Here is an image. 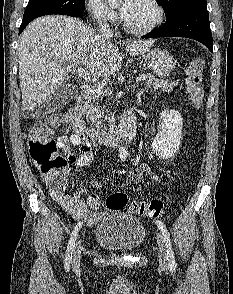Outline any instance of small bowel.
Instances as JSON below:
<instances>
[{
    "instance_id": "small-bowel-1",
    "label": "small bowel",
    "mask_w": 233,
    "mask_h": 294,
    "mask_svg": "<svg viewBox=\"0 0 233 294\" xmlns=\"http://www.w3.org/2000/svg\"><path fill=\"white\" fill-rule=\"evenodd\" d=\"M57 147L65 154L67 163L74 167H83L93 161V150L91 143L84 140L75 132L69 137L61 136L56 141ZM74 147L79 148V154L74 152ZM126 151H121V157L125 159ZM147 175L154 181H160V177L152 173L150 165L141 164L131 176L133 183H138L141 178ZM50 195L69 215L75 220L85 225H92L100 220L104 213L92 211L96 209L92 206L93 201H100L99 197L90 193L92 188H100L101 184L94 180H85L84 183L73 194H67L63 189L53 187L49 180ZM87 199V203L86 200ZM89 206V207H88ZM91 208V209H90ZM78 222V223H79Z\"/></svg>"
}]
</instances>
